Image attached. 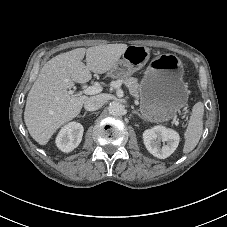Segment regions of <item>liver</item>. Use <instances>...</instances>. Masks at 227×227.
Listing matches in <instances>:
<instances>
[{
    "label": "liver",
    "mask_w": 227,
    "mask_h": 227,
    "mask_svg": "<svg viewBox=\"0 0 227 227\" xmlns=\"http://www.w3.org/2000/svg\"><path fill=\"white\" fill-rule=\"evenodd\" d=\"M127 47L126 44H107L77 48L50 59L27 96L24 121L31 137L45 145L61 126L77 117L88 96L69 93L74 83L88 82L91 72H108ZM85 55L86 64L82 62Z\"/></svg>",
    "instance_id": "liver-1"
}]
</instances>
